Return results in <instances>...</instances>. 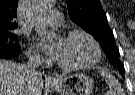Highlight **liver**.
Returning <instances> with one entry per match:
<instances>
[{
  "label": "liver",
  "instance_id": "1",
  "mask_svg": "<svg viewBox=\"0 0 135 95\" xmlns=\"http://www.w3.org/2000/svg\"><path fill=\"white\" fill-rule=\"evenodd\" d=\"M24 66L0 59V95H42L41 73L30 76Z\"/></svg>",
  "mask_w": 135,
  "mask_h": 95
}]
</instances>
